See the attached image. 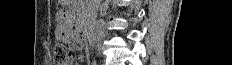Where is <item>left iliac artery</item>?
<instances>
[{
	"mask_svg": "<svg viewBox=\"0 0 232 65\" xmlns=\"http://www.w3.org/2000/svg\"><path fill=\"white\" fill-rule=\"evenodd\" d=\"M93 65H96V61L95 60L93 61Z\"/></svg>",
	"mask_w": 232,
	"mask_h": 65,
	"instance_id": "44dca946",
	"label": "left iliac artery"
}]
</instances>
